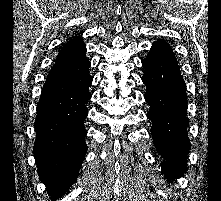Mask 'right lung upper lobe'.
<instances>
[{"label": "right lung upper lobe", "mask_w": 221, "mask_h": 201, "mask_svg": "<svg viewBox=\"0 0 221 201\" xmlns=\"http://www.w3.org/2000/svg\"><path fill=\"white\" fill-rule=\"evenodd\" d=\"M86 61V45L79 36H75L59 51L55 64H81Z\"/></svg>", "instance_id": "cb5924a9"}]
</instances>
